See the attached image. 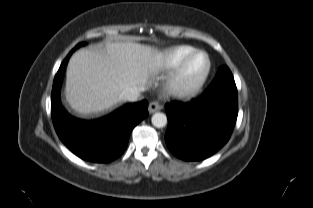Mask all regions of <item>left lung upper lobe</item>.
Here are the masks:
<instances>
[{
  "label": "left lung upper lobe",
  "mask_w": 313,
  "mask_h": 208,
  "mask_svg": "<svg viewBox=\"0 0 313 208\" xmlns=\"http://www.w3.org/2000/svg\"><path fill=\"white\" fill-rule=\"evenodd\" d=\"M215 78L223 80V81L234 82L233 75H232L231 71L229 70V68L227 66L221 67L218 70L217 75H216Z\"/></svg>",
  "instance_id": "5c2ea615"
}]
</instances>
